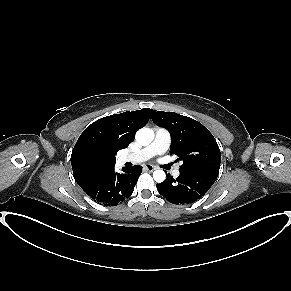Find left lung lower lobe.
I'll return each mask as SVG.
<instances>
[{
    "instance_id": "left-lung-lower-lobe-1",
    "label": "left lung lower lobe",
    "mask_w": 291,
    "mask_h": 291,
    "mask_svg": "<svg viewBox=\"0 0 291 291\" xmlns=\"http://www.w3.org/2000/svg\"><path fill=\"white\" fill-rule=\"evenodd\" d=\"M217 177L218 174L213 172L180 171L176 179L167 175L166 180L156 187L167 201L174 204H189L201 198Z\"/></svg>"
}]
</instances>
